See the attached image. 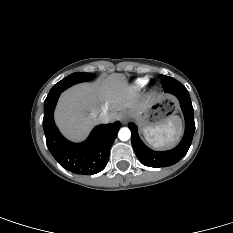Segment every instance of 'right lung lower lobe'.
<instances>
[{
	"mask_svg": "<svg viewBox=\"0 0 233 233\" xmlns=\"http://www.w3.org/2000/svg\"><path fill=\"white\" fill-rule=\"evenodd\" d=\"M59 95L47 97L44 103L43 129L49 151L62 167L76 174L92 175L102 171L109 160L120 122L98 125L85 142L71 143L54 123L53 112Z\"/></svg>",
	"mask_w": 233,
	"mask_h": 233,
	"instance_id": "obj_1",
	"label": "right lung lower lobe"
}]
</instances>
